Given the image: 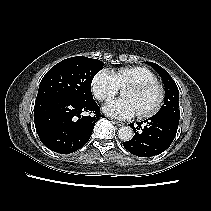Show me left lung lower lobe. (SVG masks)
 I'll return each mask as SVG.
<instances>
[{
	"instance_id": "left-lung-lower-lobe-1",
	"label": "left lung lower lobe",
	"mask_w": 211,
	"mask_h": 211,
	"mask_svg": "<svg viewBox=\"0 0 211 211\" xmlns=\"http://www.w3.org/2000/svg\"><path fill=\"white\" fill-rule=\"evenodd\" d=\"M137 124V127L130 124L135 135L130 141L123 142V146L133 155L151 157L162 153L171 145L179 120L166 115H154Z\"/></svg>"
}]
</instances>
